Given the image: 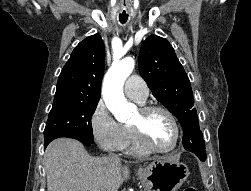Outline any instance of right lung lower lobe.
<instances>
[{
	"label": "right lung lower lobe",
	"mask_w": 251,
	"mask_h": 191,
	"mask_svg": "<svg viewBox=\"0 0 251 191\" xmlns=\"http://www.w3.org/2000/svg\"><path fill=\"white\" fill-rule=\"evenodd\" d=\"M69 138L77 139V140H79L80 142H82L85 145H91V144L94 143V142H91L89 140H85V139H82V138H79V137H69ZM47 145L48 144H44V149L47 147Z\"/></svg>",
	"instance_id": "right-lung-lower-lobe-1"
}]
</instances>
